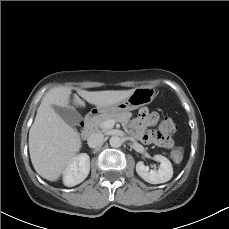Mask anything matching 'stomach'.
<instances>
[{
  "label": "stomach",
  "instance_id": "1",
  "mask_svg": "<svg viewBox=\"0 0 229 229\" xmlns=\"http://www.w3.org/2000/svg\"><path fill=\"white\" fill-rule=\"evenodd\" d=\"M155 96L156 90L154 87H138L134 89L132 94L123 101L113 105L98 106L96 107V112L102 116L129 112L151 103L154 100Z\"/></svg>",
  "mask_w": 229,
  "mask_h": 229
}]
</instances>
